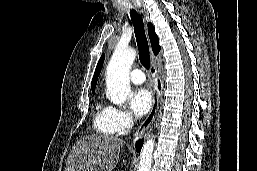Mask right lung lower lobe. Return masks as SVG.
<instances>
[{
    "label": "right lung lower lobe",
    "instance_id": "1",
    "mask_svg": "<svg viewBox=\"0 0 257 171\" xmlns=\"http://www.w3.org/2000/svg\"><path fill=\"white\" fill-rule=\"evenodd\" d=\"M142 144H143V139H142V140H139V141L137 142V145H136V150H137V152H140L141 147H142Z\"/></svg>",
    "mask_w": 257,
    "mask_h": 171
}]
</instances>
